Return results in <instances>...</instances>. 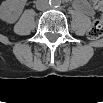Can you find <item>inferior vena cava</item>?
I'll return each instance as SVG.
<instances>
[{"instance_id":"obj_1","label":"inferior vena cava","mask_w":103,"mask_h":103,"mask_svg":"<svg viewBox=\"0 0 103 103\" xmlns=\"http://www.w3.org/2000/svg\"><path fill=\"white\" fill-rule=\"evenodd\" d=\"M36 8L40 11L47 10L49 8V3L47 0H38L36 2Z\"/></svg>"}]
</instances>
